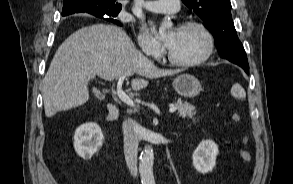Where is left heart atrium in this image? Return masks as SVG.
<instances>
[{"label":"left heart atrium","mask_w":293,"mask_h":184,"mask_svg":"<svg viewBox=\"0 0 293 184\" xmlns=\"http://www.w3.org/2000/svg\"><path fill=\"white\" fill-rule=\"evenodd\" d=\"M175 38H176V32H175V31L171 32L170 34H168V35L164 38V42H165V44H166V46H167L168 48H170V47L173 45V43H174V41H175Z\"/></svg>","instance_id":"left-heart-atrium-1"}]
</instances>
